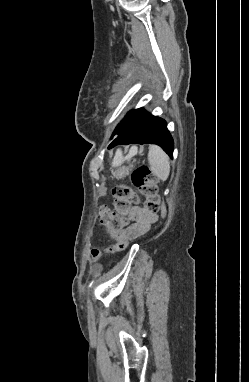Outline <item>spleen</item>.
I'll return each instance as SVG.
<instances>
[{
    "mask_svg": "<svg viewBox=\"0 0 249 382\" xmlns=\"http://www.w3.org/2000/svg\"><path fill=\"white\" fill-rule=\"evenodd\" d=\"M148 161L154 175L166 181L170 173V161L168 155L157 145L149 147Z\"/></svg>",
    "mask_w": 249,
    "mask_h": 382,
    "instance_id": "obj_1",
    "label": "spleen"
}]
</instances>
